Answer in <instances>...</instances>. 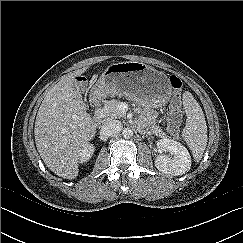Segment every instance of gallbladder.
I'll return each instance as SVG.
<instances>
[{"mask_svg": "<svg viewBox=\"0 0 243 243\" xmlns=\"http://www.w3.org/2000/svg\"><path fill=\"white\" fill-rule=\"evenodd\" d=\"M83 105L87 108V105L83 103Z\"/></svg>", "mask_w": 243, "mask_h": 243, "instance_id": "gallbladder-1", "label": "gallbladder"}]
</instances>
